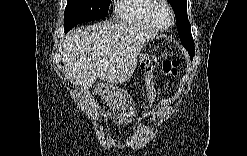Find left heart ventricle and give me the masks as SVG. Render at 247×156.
I'll list each match as a JSON object with an SVG mask.
<instances>
[{
    "label": "left heart ventricle",
    "instance_id": "left-heart-ventricle-1",
    "mask_svg": "<svg viewBox=\"0 0 247 156\" xmlns=\"http://www.w3.org/2000/svg\"><path fill=\"white\" fill-rule=\"evenodd\" d=\"M157 22L162 26H167L170 23V14L165 6H160L155 13Z\"/></svg>",
    "mask_w": 247,
    "mask_h": 156
}]
</instances>
